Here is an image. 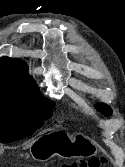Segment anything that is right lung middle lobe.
I'll return each mask as SVG.
<instances>
[{
  "mask_svg": "<svg viewBox=\"0 0 125 167\" xmlns=\"http://www.w3.org/2000/svg\"><path fill=\"white\" fill-rule=\"evenodd\" d=\"M54 102L41 94L30 98L0 95V142L31 135L52 116Z\"/></svg>",
  "mask_w": 125,
  "mask_h": 167,
  "instance_id": "right-lung-middle-lobe-1",
  "label": "right lung middle lobe"
}]
</instances>
